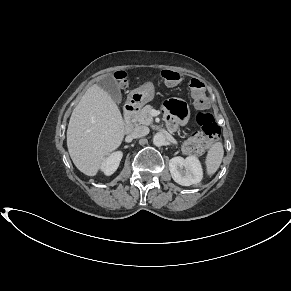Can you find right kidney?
Returning a JSON list of instances; mask_svg holds the SVG:
<instances>
[{
  "label": "right kidney",
  "instance_id": "ca27d5eb",
  "mask_svg": "<svg viewBox=\"0 0 291 291\" xmlns=\"http://www.w3.org/2000/svg\"><path fill=\"white\" fill-rule=\"evenodd\" d=\"M122 156L123 154L121 151L112 153L103 161L100 169L107 176L113 174L117 170Z\"/></svg>",
  "mask_w": 291,
  "mask_h": 291
}]
</instances>
